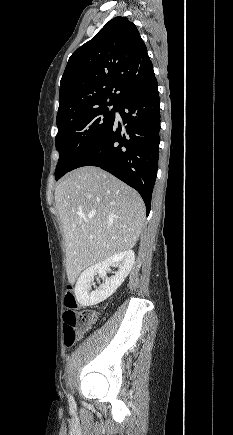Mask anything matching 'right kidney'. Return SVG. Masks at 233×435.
I'll list each match as a JSON object with an SVG mask.
<instances>
[{"label": "right kidney", "mask_w": 233, "mask_h": 435, "mask_svg": "<svg viewBox=\"0 0 233 435\" xmlns=\"http://www.w3.org/2000/svg\"><path fill=\"white\" fill-rule=\"evenodd\" d=\"M134 262V252L132 250H126L84 270L79 276L74 288L78 303L82 306H93L106 300L124 282ZM110 266H117L118 271L108 279L106 278V271ZM96 274H99L105 279V283L94 291H90L94 275Z\"/></svg>", "instance_id": "obj_1"}]
</instances>
